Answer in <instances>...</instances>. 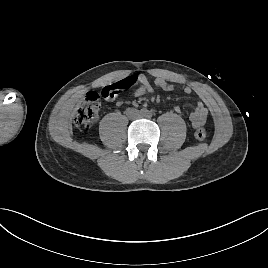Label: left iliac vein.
<instances>
[{
  "label": "left iliac vein",
  "mask_w": 268,
  "mask_h": 268,
  "mask_svg": "<svg viewBox=\"0 0 268 268\" xmlns=\"http://www.w3.org/2000/svg\"><path fill=\"white\" fill-rule=\"evenodd\" d=\"M141 117H145V115H140Z\"/></svg>",
  "instance_id": "left-iliac-vein-1"
}]
</instances>
